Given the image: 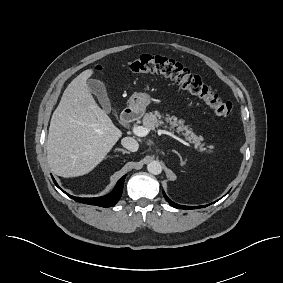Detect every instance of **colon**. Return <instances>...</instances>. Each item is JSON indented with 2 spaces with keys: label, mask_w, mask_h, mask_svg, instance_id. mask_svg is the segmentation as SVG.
Listing matches in <instances>:
<instances>
[{
  "label": "colon",
  "mask_w": 283,
  "mask_h": 283,
  "mask_svg": "<svg viewBox=\"0 0 283 283\" xmlns=\"http://www.w3.org/2000/svg\"><path fill=\"white\" fill-rule=\"evenodd\" d=\"M136 74L157 73L175 81L183 89L203 100L215 114L221 117L231 115L233 105L220 97L197 75L177 61L161 56L142 55L129 66Z\"/></svg>",
  "instance_id": "1"
}]
</instances>
